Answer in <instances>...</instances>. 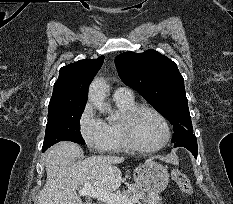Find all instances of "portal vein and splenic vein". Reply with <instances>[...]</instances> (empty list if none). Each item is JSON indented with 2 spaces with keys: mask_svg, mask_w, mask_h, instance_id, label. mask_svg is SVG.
Instances as JSON below:
<instances>
[{
  "mask_svg": "<svg viewBox=\"0 0 233 204\" xmlns=\"http://www.w3.org/2000/svg\"><path fill=\"white\" fill-rule=\"evenodd\" d=\"M81 196H89L96 198L106 204H135L139 199H144L141 194H135L131 198L122 196L121 194L110 193L108 191L95 188L89 182L85 183L82 189H79Z\"/></svg>",
  "mask_w": 233,
  "mask_h": 204,
  "instance_id": "18ae733b",
  "label": "portal vein and splenic vein"
}]
</instances>
